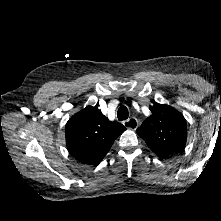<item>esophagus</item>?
<instances>
[{"instance_id":"1","label":"esophagus","mask_w":221,"mask_h":221,"mask_svg":"<svg viewBox=\"0 0 221 221\" xmlns=\"http://www.w3.org/2000/svg\"><path fill=\"white\" fill-rule=\"evenodd\" d=\"M123 125L128 128V129H131V130H136L137 127H138V121L136 118L134 117H131L130 119L128 120H125L123 122Z\"/></svg>"}]
</instances>
